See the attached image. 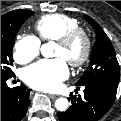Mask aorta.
I'll list each match as a JSON object with an SVG mask.
<instances>
[{
	"mask_svg": "<svg viewBox=\"0 0 121 121\" xmlns=\"http://www.w3.org/2000/svg\"><path fill=\"white\" fill-rule=\"evenodd\" d=\"M54 43L48 42L41 46V54L48 58L53 56ZM68 100L66 98H58L55 101V107L58 111H66L68 108Z\"/></svg>",
	"mask_w": 121,
	"mask_h": 121,
	"instance_id": "aorta-1",
	"label": "aorta"
}]
</instances>
